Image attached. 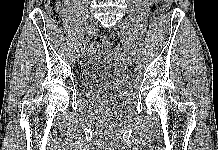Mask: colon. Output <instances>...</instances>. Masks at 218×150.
Segmentation results:
<instances>
[{"label":"colon","instance_id":"1","mask_svg":"<svg viewBox=\"0 0 218 150\" xmlns=\"http://www.w3.org/2000/svg\"><path fill=\"white\" fill-rule=\"evenodd\" d=\"M45 8L49 16L53 20H57L60 15L62 8V0H45ZM166 10V5L164 0H150L149 1V12L154 17H161ZM96 46L104 51H109L111 49L110 40L103 35H100L96 38Z\"/></svg>","mask_w":218,"mask_h":150}]
</instances>
